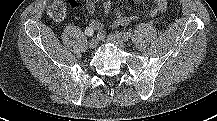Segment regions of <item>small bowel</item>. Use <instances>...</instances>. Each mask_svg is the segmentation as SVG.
Segmentation results:
<instances>
[{
	"label": "small bowel",
	"mask_w": 217,
	"mask_h": 121,
	"mask_svg": "<svg viewBox=\"0 0 217 121\" xmlns=\"http://www.w3.org/2000/svg\"><path fill=\"white\" fill-rule=\"evenodd\" d=\"M99 0H86L85 7L87 12L90 15H93L96 12V6ZM134 1H141V0H134ZM154 3V6L149 10L148 16L154 17L159 12H162L166 6H167V0H152ZM69 4L71 7L77 6V0H69ZM103 9L105 13H110L112 11V2L111 0H104L103 3ZM137 19V16H126L124 13L117 11L115 13V17L113 21L111 22V26L113 28H117L120 26H126L129 24L131 20ZM90 28H92L95 31H98V33H101L104 37V27L103 24L99 20H91L90 21Z\"/></svg>",
	"instance_id": "small-bowel-1"
}]
</instances>
